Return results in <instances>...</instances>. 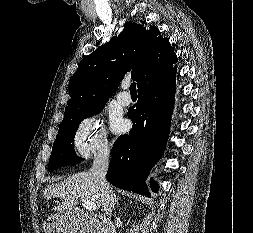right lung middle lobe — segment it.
I'll return each mask as SVG.
<instances>
[{
  "label": "right lung middle lobe",
  "instance_id": "obj_1",
  "mask_svg": "<svg viewBox=\"0 0 253 233\" xmlns=\"http://www.w3.org/2000/svg\"><path fill=\"white\" fill-rule=\"evenodd\" d=\"M104 106L105 102L63 119L59 126L57 138L53 144L49 161V171L83 160L75 154L74 144L72 143L76 130L83 119L100 113Z\"/></svg>",
  "mask_w": 253,
  "mask_h": 233
}]
</instances>
